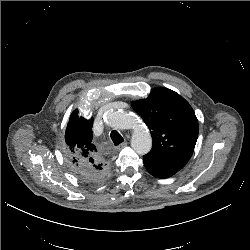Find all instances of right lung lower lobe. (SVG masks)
I'll return each instance as SVG.
<instances>
[{"instance_id":"right-lung-lower-lobe-1","label":"right lung lower lobe","mask_w":250,"mask_h":250,"mask_svg":"<svg viewBox=\"0 0 250 250\" xmlns=\"http://www.w3.org/2000/svg\"><path fill=\"white\" fill-rule=\"evenodd\" d=\"M70 167H71V170L73 171V173L80 180H82L86 183H99V182L103 181L109 173L108 168H105L102 171H94V170L80 169V168H77L71 164H70Z\"/></svg>"}]
</instances>
